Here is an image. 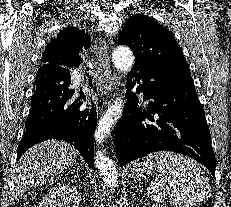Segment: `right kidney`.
Masks as SVG:
<instances>
[{"instance_id": "1", "label": "right kidney", "mask_w": 231, "mask_h": 207, "mask_svg": "<svg viewBox=\"0 0 231 207\" xmlns=\"http://www.w3.org/2000/svg\"><path fill=\"white\" fill-rule=\"evenodd\" d=\"M39 207H80V196L76 188L59 184L42 198Z\"/></svg>"}]
</instances>
